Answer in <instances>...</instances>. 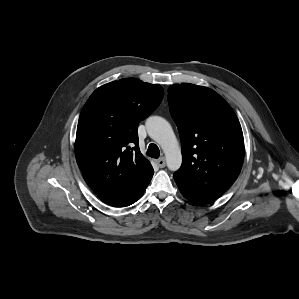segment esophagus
I'll list each match as a JSON object with an SVG mask.
<instances>
[{
	"instance_id": "1",
	"label": "esophagus",
	"mask_w": 299,
	"mask_h": 299,
	"mask_svg": "<svg viewBox=\"0 0 299 299\" xmlns=\"http://www.w3.org/2000/svg\"><path fill=\"white\" fill-rule=\"evenodd\" d=\"M156 163H157V165H158L160 168L165 167V165H166L165 158L162 157V158H160V159H157V160H156Z\"/></svg>"
}]
</instances>
